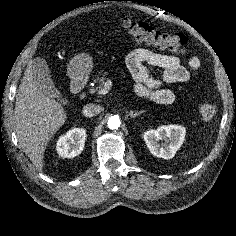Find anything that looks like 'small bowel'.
Wrapping results in <instances>:
<instances>
[{"instance_id":"c3829d8e","label":"small bowel","mask_w":236,"mask_h":236,"mask_svg":"<svg viewBox=\"0 0 236 236\" xmlns=\"http://www.w3.org/2000/svg\"><path fill=\"white\" fill-rule=\"evenodd\" d=\"M185 53V50L180 51ZM126 66L135 80L134 91L144 99L159 104H171L175 93L163 86L170 83H184L189 80L191 72L198 74L200 59L192 55L184 63L178 56L165 55L145 48L131 50L125 55ZM146 64L163 70L161 76L153 77Z\"/></svg>"}]
</instances>
